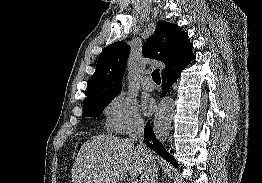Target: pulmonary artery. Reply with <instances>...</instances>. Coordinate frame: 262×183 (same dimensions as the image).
Wrapping results in <instances>:
<instances>
[{
	"label": "pulmonary artery",
	"instance_id": "e3ab8cb5",
	"mask_svg": "<svg viewBox=\"0 0 262 183\" xmlns=\"http://www.w3.org/2000/svg\"><path fill=\"white\" fill-rule=\"evenodd\" d=\"M141 86L146 91H152L155 88L154 83L152 82L150 76H145L142 80Z\"/></svg>",
	"mask_w": 262,
	"mask_h": 183
}]
</instances>
